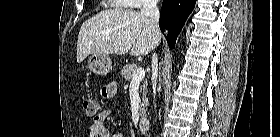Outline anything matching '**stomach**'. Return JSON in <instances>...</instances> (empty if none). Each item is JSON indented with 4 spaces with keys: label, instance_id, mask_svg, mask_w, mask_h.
Instances as JSON below:
<instances>
[{
    "label": "stomach",
    "instance_id": "obj_1",
    "mask_svg": "<svg viewBox=\"0 0 280 137\" xmlns=\"http://www.w3.org/2000/svg\"><path fill=\"white\" fill-rule=\"evenodd\" d=\"M89 69L96 75H107L112 70V61L108 55L93 54L88 60Z\"/></svg>",
    "mask_w": 280,
    "mask_h": 137
}]
</instances>
